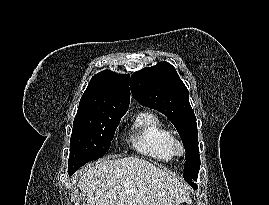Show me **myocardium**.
I'll return each instance as SVG.
<instances>
[{"instance_id": "myocardium-1", "label": "myocardium", "mask_w": 269, "mask_h": 205, "mask_svg": "<svg viewBox=\"0 0 269 205\" xmlns=\"http://www.w3.org/2000/svg\"><path fill=\"white\" fill-rule=\"evenodd\" d=\"M173 151L177 155H183L185 152L184 144L181 140L174 138L173 140Z\"/></svg>"}]
</instances>
